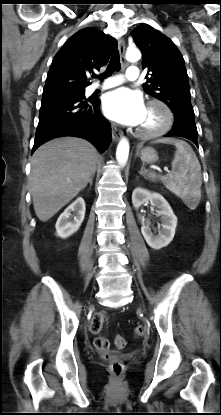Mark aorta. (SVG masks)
<instances>
[{"label":"aorta","mask_w":221,"mask_h":415,"mask_svg":"<svg viewBox=\"0 0 221 415\" xmlns=\"http://www.w3.org/2000/svg\"><path fill=\"white\" fill-rule=\"evenodd\" d=\"M141 53L136 48H130L126 52V58L130 62H135L139 60ZM129 156V141L126 138L120 140L117 150H116V159L119 165L125 166Z\"/></svg>","instance_id":"762f6f07"}]
</instances>
